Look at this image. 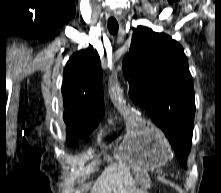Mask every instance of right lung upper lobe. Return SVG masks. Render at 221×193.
I'll list each match as a JSON object with an SVG mask.
<instances>
[{"label": "right lung upper lobe", "mask_w": 221, "mask_h": 193, "mask_svg": "<svg viewBox=\"0 0 221 193\" xmlns=\"http://www.w3.org/2000/svg\"><path fill=\"white\" fill-rule=\"evenodd\" d=\"M102 74L99 55L92 46L69 59L62 85L67 125L104 116Z\"/></svg>", "instance_id": "cb5924a9"}]
</instances>
